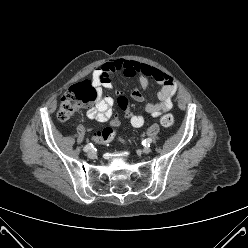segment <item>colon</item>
Masks as SVG:
<instances>
[{
	"mask_svg": "<svg viewBox=\"0 0 248 248\" xmlns=\"http://www.w3.org/2000/svg\"><path fill=\"white\" fill-rule=\"evenodd\" d=\"M97 89L92 85L89 80L83 79L76 84L72 85L67 92L63 95L60 106L57 112V118L60 121H67L73 115H75L83 105L90 104L97 99ZM118 103L123 111V118L130 120L134 115V109L129 105L127 96L120 95L118 97ZM160 122L163 126L169 127L174 123V117L171 114H164L161 116ZM120 124L118 117H114L111 121V125L116 127ZM114 131L107 128L100 134L95 131L92 134V140L95 143L107 145L113 139Z\"/></svg>",
	"mask_w": 248,
	"mask_h": 248,
	"instance_id": "colon-1",
	"label": "colon"
}]
</instances>
